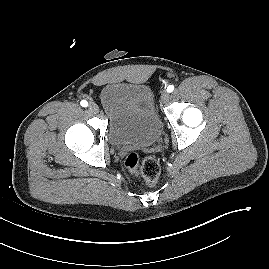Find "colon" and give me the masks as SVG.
Listing matches in <instances>:
<instances>
[{
	"label": "colon",
	"instance_id": "5ec220e1",
	"mask_svg": "<svg viewBox=\"0 0 269 269\" xmlns=\"http://www.w3.org/2000/svg\"><path fill=\"white\" fill-rule=\"evenodd\" d=\"M125 168L132 174L140 176L147 184H154L160 175V165L156 158H140L137 152H130L124 159Z\"/></svg>",
	"mask_w": 269,
	"mask_h": 269
}]
</instances>
